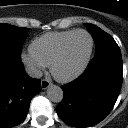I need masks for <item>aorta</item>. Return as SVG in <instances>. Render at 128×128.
Listing matches in <instances>:
<instances>
[{
	"instance_id": "762f6f07",
	"label": "aorta",
	"mask_w": 128,
	"mask_h": 128,
	"mask_svg": "<svg viewBox=\"0 0 128 128\" xmlns=\"http://www.w3.org/2000/svg\"><path fill=\"white\" fill-rule=\"evenodd\" d=\"M47 98L55 103H59L63 99V91L61 87L56 85H51L47 89Z\"/></svg>"
}]
</instances>
